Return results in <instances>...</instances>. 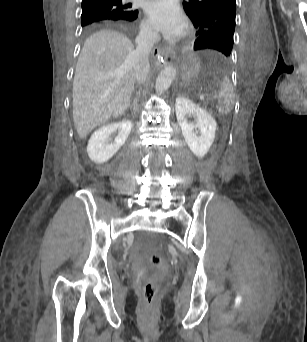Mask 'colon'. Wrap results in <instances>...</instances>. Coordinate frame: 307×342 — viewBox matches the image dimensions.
I'll return each mask as SVG.
<instances>
[{
  "instance_id": "5ec220e1",
  "label": "colon",
  "mask_w": 307,
  "mask_h": 342,
  "mask_svg": "<svg viewBox=\"0 0 307 342\" xmlns=\"http://www.w3.org/2000/svg\"><path fill=\"white\" fill-rule=\"evenodd\" d=\"M151 261V268L148 269L147 274L150 276L148 281H144V288L141 289V301L142 307H157V289L162 288V281L159 276H165L168 271L166 261L155 253H151L149 256Z\"/></svg>"
}]
</instances>
